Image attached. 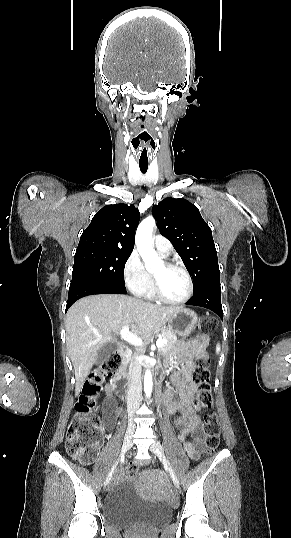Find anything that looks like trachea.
Returning a JSON list of instances; mask_svg holds the SVG:
<instances>
[{
    "instance_id": "3493384b",
    "label": "trachea",
    "mask_w": 291,
    "mask_h": 538,
    "mask_svg": "<svg viewBox=\"0 0 291 538\" xmlns=\"http://www.w3.org/2000/svg\"><path fill=\"white\" fill-rule=\"evenodd\" d=\"M139 167L143 174H145L148 170V164H139Z\"/></svg>"
}]
</instances>
